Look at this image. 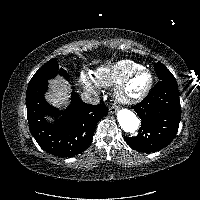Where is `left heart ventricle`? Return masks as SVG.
I'll list each match as a JSON object with an SVG mask.
<instances>
[{"instance_id":"obj_1","label":"left heart ventricle","mask_w":200,"mask_h":200,"mask_svg":"<svg viewBox=\"0 0 200 200\" xmlns=\"http://www.w3.org/2000/svg\"><path fill=\"white\" fill-rule=\"evenodd\" d=\"M149 77L146 73L135 76L127 85L126 94L129 96L139 95L147 86Z\"/></svg>"}]
</instances>
